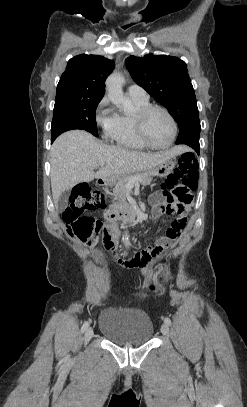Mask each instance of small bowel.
<instances>
[{"label": "small bowel", "instance_id": "obj_1", "mask_svg": "<svg viewBox=\"0 0 247 407\" xmlns=\"http://www.w3.org/2000/svg\"><path fill=\"white\" fill-rule=\"evenodd\" d=\"M153 217H159L162 214L174 216L169 227L166 229L164 236L157 240L154 247H149L139 253L129 262L132 267L143 269V275L147 276L151 273L152 267L149 263L153 259H157L164 255L165 250L170 247L181 235L186 227L187 213L189 212V204L183 202H174L172 200L165 201L161 194L156 193L150 197ZM118 238V231L115 228H110L105 232L103 247L105 250L112 249ZM100 261H103V255L100 256Z\"/></svg>", "mask_w": 247, "mask_h": 407}]
</instances>
